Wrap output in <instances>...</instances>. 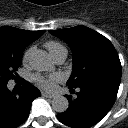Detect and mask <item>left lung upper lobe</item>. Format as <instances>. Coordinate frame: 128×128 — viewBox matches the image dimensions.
<instances>
[{"instance_id": "left-lung-upper-lobe-1", "label": "left lung upper lobe", "mask_w": 128, "mask_h": 128, "mask_svg": "<svg viewBox=\"0 0 128 128\" xmlns=\"http://www.w3.org/2000/svg\"><path fill=\"white\" fill-rule=\"evenodd\" d=\"M67 42L73 51V72L67 85L79 87L96 76L121 78V63L112 43L100 33L85 27L50 30Z\"/></svg>"}]
</instances>
